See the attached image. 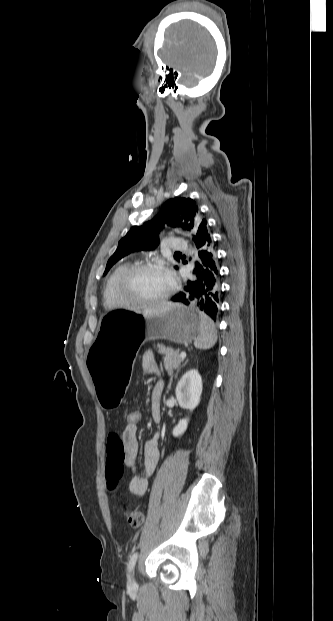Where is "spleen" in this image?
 <instances>
[{
    "instance_id": "1",
    "label": "spleen",
    "mask_w": 333,
    "mask_h": 621,
    "mask_svg": "<svg viewBox=\"0 0 333 621\" xmlns=\"http://www.w3.org/2000/svg\"><path fill=\"white\" fill-rule=\"evenodd\" d=\"M199 319V333L194 341V346L198 349L207 350L217 342V331L213 320L204 312H199Z\"/></svg>"
}]
</instances>
